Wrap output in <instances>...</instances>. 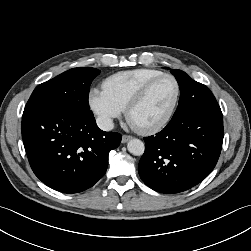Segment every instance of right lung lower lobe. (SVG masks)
<instances>
[{
	"mask_svg": "<svg viewBox=\"0 0 251 251\" xmlns=\"http://www.w3.org/2000/svg\"><path fill=\"white\" fill-rule=\"evenodd\" d=\"M21 131L30 166L47 186L63 193L92 187L108 166V153L121 142L104 132L91 111L82 113L38 101L27 102Z\"/></svg>",
	"mask_w": 251,
	"mask_h": 251,
	"instance_id": "right-lung-lower-lobe-1",
	"label": "right lung lower lobe"
}]
</instances>
